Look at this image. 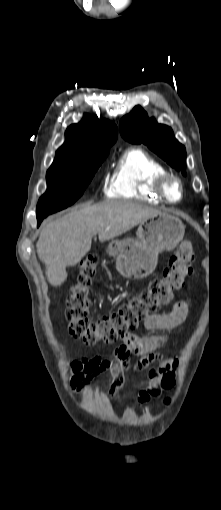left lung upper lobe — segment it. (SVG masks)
Wrapping results in <instances>:
<instances>
[{
    "label": "left lung upper lobe",
    "mask_w": 221,
    "mask_h": 510,
    "mask_svg": "<svg viewBox=\"0 0 221 510\" xmlns=\"http://www.w3.org/2000/svg\"><path fill=\"white\" fill-rule=\"evenodd\" d=\"M119 130L124 139L147 145L172 167L179 170L185 166V147L175 139L172 129L158 124L153 118L149 119L141 106H136L122 118ZM182 173L186 174L185 171Z\"/></svg>",
    "instance_id": "obj_1"
}]
</instances>
